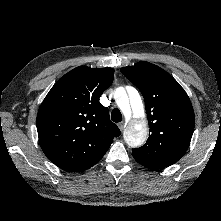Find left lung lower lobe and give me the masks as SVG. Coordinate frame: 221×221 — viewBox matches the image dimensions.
<instances>
[{"label":"left lung lower lobe","instance_id":"left-lung-lower-lobe-1","mask_svg":"<svg viewBox=\"0 0 221 221\" xmlns=\"http://www.w3.org/2000/svg\"><path fill=\"white\" fill-rule=\"evenodd\" d=\"M135 160L140 163L141 165L147 167V168H151V169H162L164 168V166H161L159 164H156V163H152V162H147V161H142V160H139L137 158H135Z\"/></svg>","mask_w":221,"mask_h":221}]
</instances>
